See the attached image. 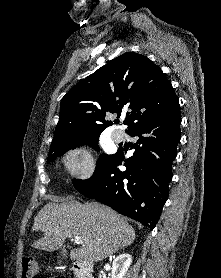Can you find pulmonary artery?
Segmentation results:
<instances>
[{"instance_id":"obj_1","label":"pulmonary artery","mask_w":221,"mask_h":278,"mask_svg":"<svg viewBox=\"0 0 221 278\" xmlns=\"http://www.w3.org/2000/svg\"><path fill=\"white\" fill-rule=\"evenodd\" d=\"M112 138L115 142H121L124 140V133L121 130H115L112 133Z\"/></svg>"}]
</instances>
